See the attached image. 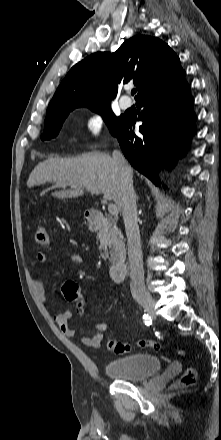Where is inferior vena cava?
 I'll list each match as a JSON object with an SVG mask.
<instances>
[{"mask_svg":"<svg viewBox=\"0 0 221 440\" xmlns=\"http://www.w3.org/2000/svg\"><path fill=\"white\" fill-rule=\"evenodd\" d=\"M112 157L119 170L121 178L120 200L127 235L131 278L130 285L132 291L142 295L144 292L143 259L140 232L137 224V206L131 170L120 151L114 150Z\"/></svg>","mask_w":221,"mask_h":440,"instance_id":"602c4592","label":"inferior vena cava"}]
</instances>
